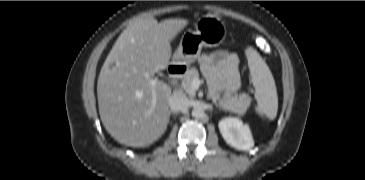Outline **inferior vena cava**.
I'll use <instances>...</instances> for the list:
<instances>
[{"instance_id": "inferior-vena-cava-1", "label": "inferior vena cava", "mask_w": 365, "mask_h": 180, "mask_svg": "<svg viewBox=\"0 0 365 180\" xmlns=\"http://www.w3.org/2000/svg\"><path fill=\"white\" fill-rule=\"evenodd\" d=\"M169 106L172 112H179L189 106V100L185 95L174 93L169 98Z\"/></svg>"}]
</instances>
